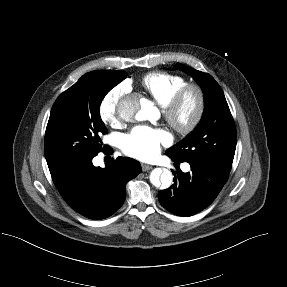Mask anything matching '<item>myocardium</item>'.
Returning a JSON list of instances; mask_svg holds the SVG:
<instances>
[{"mask_svg":"<svg viewBox=\"0 0 287 287\" xmlns=\"http://www.w3.org/2000/svg\"><path fill=\"white\" fill-rule=\"evenodd\" d=\"M189 98L195 100V110L187 121L180 119V113ZM206 99L202 88L197 84H185L163 107V114L168 124L180 135H188L193 132L205 113Z\"/></svg>","mask_w":287,"mask_h":287,"instance_id":"obj_1","label":"myocardium"}]
</instances>
